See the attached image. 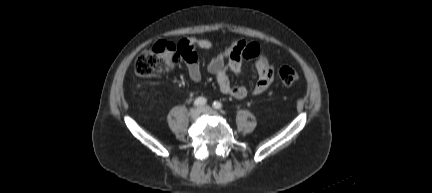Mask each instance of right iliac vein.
<instances>
[{
  "label": "right iliac vein",
  "instance_id": "obj_1",
  "mask_svg": "<svg viewBox=\"0 0 432 193\" xmlns=\"http://www.w3.org/2000/svg\"><path fill=\"white\" fill-rule=\"evenodd\" d=\"M201 113H202L201 108H196V109L192 110L191 118L193 120H197L200 117Z\"/></svg>",
  "mask_w": 432,
  "mask_h": 193
}]
</instances>
